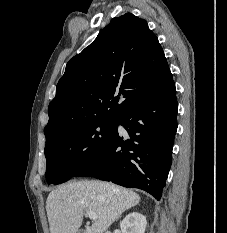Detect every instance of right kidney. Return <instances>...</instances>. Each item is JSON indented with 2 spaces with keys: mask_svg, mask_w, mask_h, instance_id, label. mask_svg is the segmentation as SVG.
<instances>
[{
  "mask_svg": "<svg viewBox=\"0 0 227 233\" xmlns=\"http://www.w3.org/2000/svg\"><path fill=\"white\" fill-rule=\"evenodd\" d=\"M147 221L138 212L128 214L120 223L122 233H145Z\"/></svg>",
  "mask_w": 227,
  "mask_h": 233,
  "instance_id": "obj_1",
  "label": "right kidney"
}]
</instances>
